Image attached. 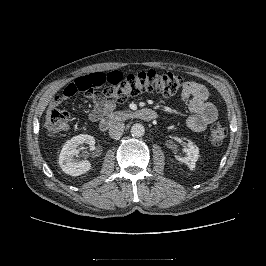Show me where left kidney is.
<instances>
[{"mask_svg":"<svg viewBox=\"0 0 266 266\" xmlns=\"http://www.w3.org/2000/svg\"><path fill=\"white\" fill-rule=\"evenodd\" d=\"M184 151L186 156L180 160L185 163L190 170H193L199 157V148L192 141H188Z\"/></svg>","mask_w":266,"mask_h":266,"instance_id":"1","label":"left kidney"}]
</instances>
